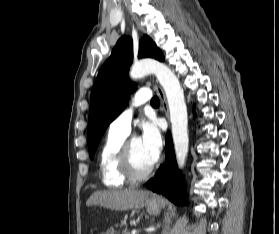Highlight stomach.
I'll return each mask as SVG.
<instances>
[{
	"label": "stomach",
	"mask_w": 279,
	"mask_h": 234,
	"mask_svg": "<svg viewBox=\"0 0 279 234\" xmlns=\"http://www.w3.org/2000/svg\"><path fill=\"white\" fill-rule=\"evenodd\" d=\"M146 210L151 215H156L160 212L161 203L148 199L145 203Z\"/></svg>",
	"instance_id": "1"
}]
</instances>
